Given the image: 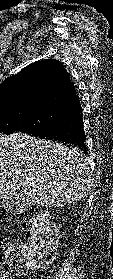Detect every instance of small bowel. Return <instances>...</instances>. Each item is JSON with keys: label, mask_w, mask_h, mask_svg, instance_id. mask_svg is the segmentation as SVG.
I'll list each match as a JSON object with an SVG mask.
<instances>
[{"label": "small bowel", "mask_w": 113, "mask_h": 279, "mask_svg": "<svg viewBox=\"0 0 113 279\" xmlns=\"http://www.w3.org/2000/svg\"><path fill=\"white\" fill-rule=\"evenodd\" d=\"M0 279H5V274L1 273L0 274Z\"/></svg>", "instance_id": "1"}]
</instances>
